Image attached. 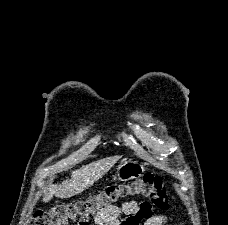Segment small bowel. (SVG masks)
Segmentation results:
<instances>
[{
    "mask_svg": "<svg viewBox=\"0 0 228 225\" xmlns=\"http://www.w3.org/2000/svg\"><path fill=\"white\" fill-rule=\"evenodd\" d=\"M137 212V213H136ZM135 214V218L134 217ZM121 216L124 222H120ZM145 218H148L145 220ZM170 221V216L167 214L152 213V204H149V199H142V204L136 201H126L121 206H109L102 210L95 218L94 225H165Z\"/></svg>",
    "mask_w": 228,
    "mask_h": 225,
    "instance_id": "c3829d8e",
    "label": "small bowel"
}]
</instances>
